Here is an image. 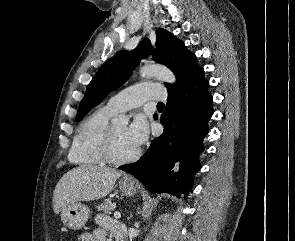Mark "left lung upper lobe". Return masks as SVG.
<instances>
[{
	"instance_id": "obj_1",
	"label": "left lung upper lobe",
	"mask_w": 295,
	"mask_h": 241,
	"mask_svg": "<svg viewBox=\"0 0 295 241\" xmlns=\"http://www.w3.org/2000/svg\"><path fill=\"white\" fill-rule=\"evenodd\" d=\"M150 54H153L154 61L166 65L176 75L174 85L165 83L168 92L180 90L203 71L196 62L195 54L188 51L182 41L167 30L159 29L156 32V49H152L149 39H144L135 50L118 52L101 66L80 102L76 121L83 119L110 91L126 82L140 59Z\"/></svg>"
}]
</instances>
